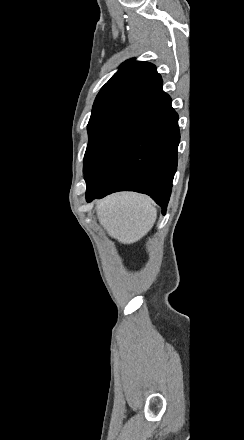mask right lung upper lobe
Masks as SVG:
<instances>
[{"label":"right lung upper lobe","mask_w":244,"mask_h":440,"mask_svg":"<svg viewBox=\"0 0 244 440\" xmlns=\"http://www.w3.org/2000/svg\"><path fill=\"white\" fill-rule=\"evenodd\" d=\"M162 86L161 76L156 67L147 62L128 60L102 87L95 101L117 97L142 99Z\"/></svg>","instance_id":"cb5924a9"}]
</instances>
